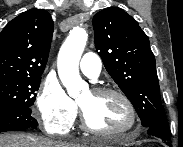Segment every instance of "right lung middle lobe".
<instances>
[{"mask_svg": "<svg viewBox=\"0 0 183 147\" xmlns=\"http://www.w3.org/2000/svg\"><path fill=\"white\" fill-rule=\"evenodd\" d=\"M40 81L41 76L0 80V109L31 107Z\"/></svg>", "mask_w": 183, "mask_h": 147, "instance_id": "dd1d6c3e", "label": "right lung middle lobe"}]
</instances>
